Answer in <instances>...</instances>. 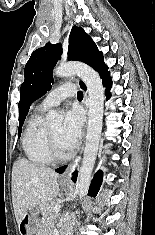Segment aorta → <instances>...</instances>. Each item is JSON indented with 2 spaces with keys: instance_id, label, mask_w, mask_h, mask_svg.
<instances>
[{
  "instance_id": "762f6f07",
  "label": "aorta",
  "mask_w": 155,
  "mask_h": 235,
  "mask_svg": "<svg viewBox=\"0 0 155 235\" xmlns=\"http://www.w3.org/2000/svg\"><path fill=\"white\" fill-rule=\"evenodd\" d=\"M53 74L57 77L79 76L86 84L89 94L86 144L76 182L79 198L82 199L88 192L99 149L104 113V89L99 74L84 63H62L54 69ZM47 119L52 124L60 123L62 116L55 110H50Z\"/></svg>"
}]
</instances>
